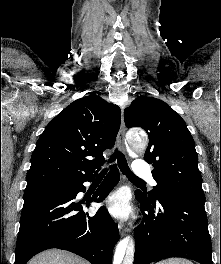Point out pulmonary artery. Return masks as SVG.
<instances>
[{
    "mask_svg": "<svg viewBox=\"0 0 221 264\" xmlns=\"http://www.w3.org/2000/svg\"><path fill=\"white\" fill-rule=\"evenodd\" d=\"M133 171L137 176L149 180L151 185H156L151 170L144 161L136 160L133 166Z\"/></svg>",
    "mask_w": 221,
    "mask_h": 264,
    "instance_id": "pulmonary-artery-1",
    "label": "pulmonary artery"
}]
</instances>
